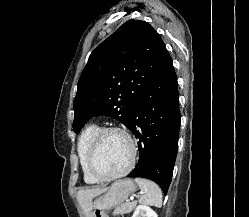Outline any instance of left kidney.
Returning a JSON list of instances; mask_svg holds the SVG:
<instances>
[{
	"instance_id": "obj_1",
	"label": "left kidney",
	"mask_w": 249,
	"mask_h": 217,
	"mask_svg": "<svg viewBox=\"0 0 249 217\" xmlns=\"http://www.w3.org/2000/svg\"><path fill=\"white\" fill-rule=\"evenodd\" d=\"M132 217H158L157 213L149 206L139 205Z\"/></svg>"
}]
</instances>
